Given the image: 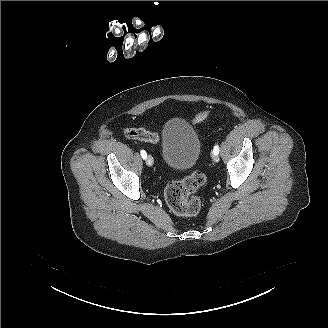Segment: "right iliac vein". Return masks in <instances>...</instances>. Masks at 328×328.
<instances>
[{
	"label": "right iliac vein",
	"instance_id": "right-iliac-vein-1",
	"mask_svg": "<svg viewBox=\"0 0 328 328\" xmlns=\"http://www.w3.org/2000/svg\"><path fill=\"white\" fill-rule=\"evenodd\" d=\"M146 164H147L148 166H152V165L154 164V160H153V157H152L151 155H148V156L146 157Z\"/></svg>",
	"mask_w": 328,
	"mask_h": 328
}]
</instances>
